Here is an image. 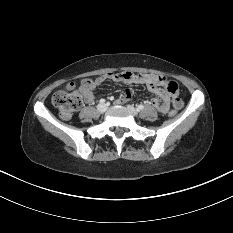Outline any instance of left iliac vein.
I'll use <instances>...</instances> for the list:
<instances>
[{
	"mask_svg": "<svg viewBox=\"0 0 233 233\" xmlns=\"http://www.w3.org/2000/svg\"><path fill=\"white\" fill-rule=\"evenodd\" d=\"M127 108H128V110L131 112L132 115H134V116H137V115H138V110L135 109L133 106L127 105Z\"/></svg>",
	"mask_w": 233,
	"mask_h": 233,
	"instance_id": "1",
	"label": "left iliac vein"
}]
</instances>
